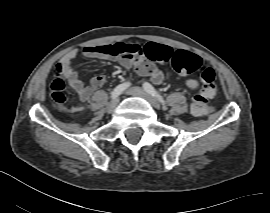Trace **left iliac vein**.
I'll return each instance as SVG.
<instances>
[{
    "label": "left iliac vein",
    "mask_w": 270,
    "mask_h": 213,
    "mask_svg": "<svg viewBox=\"0 0 270 213\" xmlns=\"http://www.w3.org/2000/svg\"><path fill=\"white\" fill-rule=\"evenodd\" d=\"M127 93L129 95H133L136 97H140L145 99L146 101H148L155 109L159 110L160 109V104L158 102V100L151 96L150 94H148L145 90L139 88V87H133L130 88Z\"/></svg>",
    "instance_id": "1"
}]
</instances>
